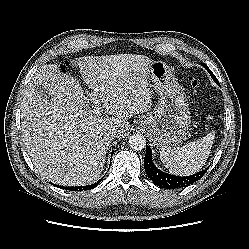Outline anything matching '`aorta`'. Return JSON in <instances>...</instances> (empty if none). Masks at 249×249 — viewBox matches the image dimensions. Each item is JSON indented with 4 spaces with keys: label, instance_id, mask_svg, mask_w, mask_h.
I'll list each match as a JSON object with an SVG mask.
<instances>
[{
    "label": "aorta",
    "instance_id": "1",
    "mask_svg": "<svg viewBox=\"0 0 249 249\" xmlns=\"http://www.w3.org/2000/svg\"><path fill=\"white\" fill-rule=\"evenodd\" d=\"M129 147L135 151H141L146 146L145 137L141 134H133L129 138Z\"/></svg>",
    "mask_w": 249,
    "mask_h": 249
}]
</instances>
